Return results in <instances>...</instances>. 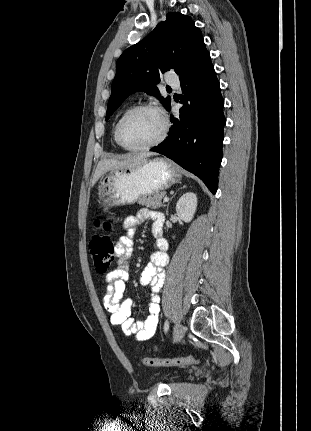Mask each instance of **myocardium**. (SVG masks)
Listing matches in <instances>:
<instances>
[{
  "label": "myocardium",
  "mask_w": 311,
  "mask_h": 431,
  "mask_svg": "<svg viewBox=\"0 0 311 431\" xmlns=\"http://www.w3.org/2000/svg\"><path fill=\"white\" fill-rule=\"evenodd\" d=\"M144 110H153V111H156L159 113V115L161 116V119H162V123H163L162 132L155 140H153L152 142H150L148 144H145L142 146H130L125 141V138L123 135V126H124L125 122L130 117H132L136 113H138L140 111H144ZM168 131H169V123H168L167 118L160 111V109H158L153 104H149V103H143V104H139V105L132 107L131 109H129L127 112H125L120 117V119L118 120L117 125H116L117 138H118L121 146L123 148H125L126 150H131V151L147 150V149H150V148H153V147L159 145L166 138Z\"/></svg>",
  "instance_id": "1"
}]
</instances>
